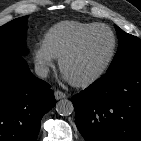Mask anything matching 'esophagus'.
Listing matches in <instances>:
<instances>
[{
  "instance_id": "34e87169",
  "label": "esophagus",
  "mask_w": 141,
  "mask_h": 141,
  "mask_svg": "<svg viewBox=\"0 0 141 141\" xmlns=\"http://www.w3.org/2000/svg\"><path fill=\"white\" fill-rule=\"evenodd\" d=\"M54 95H55V99H56V100H60V99L66 97V94H65L64 92L60 91V90H56V91L54 92Z\"/></svg>"
}]
</instances>
